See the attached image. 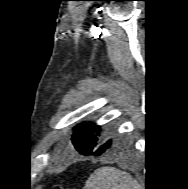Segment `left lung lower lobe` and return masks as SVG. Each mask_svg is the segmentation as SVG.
Returning <instances> with one entry per match:
<instances>
[{
  "label": "left lung lower lobe",
  "instance_id": "left-lung-lower-lobe-1",
  "mask_svg": "<svg viewBox=\"0 0 188 189\" xmlns=\"http://www.w3.org/2000/svg\"><path fill=\"white\" fill-rule=\"evenodd\" d=\"M109 147V143L108 144H103L101 146H98L97 149H95L94 151H92L90 154L88 155H96V156H100L102 153L105 152V150Z\"/></svg>",
  "mask_w": 188,
  "mask_h": 189
}]
</instances>
